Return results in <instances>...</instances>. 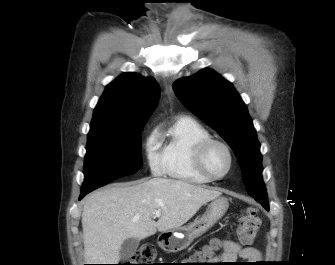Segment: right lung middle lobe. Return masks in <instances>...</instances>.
Segmentation results:
<instances>
[{"instance_id": "dd1d6c3e", "label": "right lung middle lobe", "mask_w": 335, "mask_h": 265, "mask_svg": "<svg viewBox=\"0 0 335 265\" xmlns=\"http://www.w3.org/2000/svg\"><path fill=\"white\" fill-rule=\"evenodd\" d=\"M143 126V123L134 125L122 133L105 131L88 135L81 192L89 193L119 177L134 174L142 167Z\"/></svg>"}]
</instances>
